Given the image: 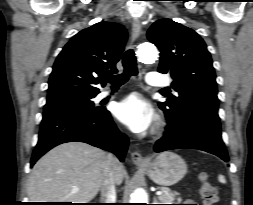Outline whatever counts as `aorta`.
Returning a JSON list of instances; mask_svg holds the SVG:
<instances>
[{
  "label": "aorta",
  "instance_id": "aorta-1",
  "mask_svg": "<svg viewBox=\"0 0 253 205\" xmlns=\"http://www.w3.org/2000/svg\"><path fill=\"white\" fill-rule=\"evenodd\" d=\"M138 56L146 64L154 63L158 57V51L154 44L150 42L143 43L139 46ZM147 197L142 193H136L132 198V203H146Z\"/></svg>",
  "mask_w": 253,
  "mask_h": 205
}]
</instances>
